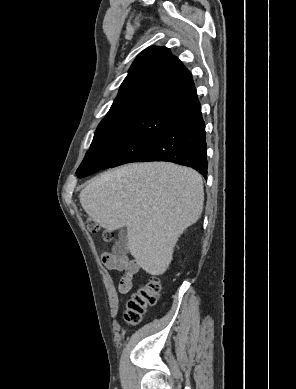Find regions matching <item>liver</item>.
I'll list each match as a JSON object with an SVG mask.
<instances>
[{
	"instance_id": "liver-1",
	"label": "liver",
	"mask_w": 296,
	"mask_h": 389,
	"mask_svg": "<svg viewBox=\"0 0 296 389\" xmlns=\"http://www.w3.org/2000/svg\"><path fill=\"white\" fill-rule=\"evenodd\" d=\"M79 198L102 228L126 226L137 264L151 275H161L180 235L202 214L203 181L193 169L174 163H133L95 177Z\"/></svg>"
}]
</instances>
